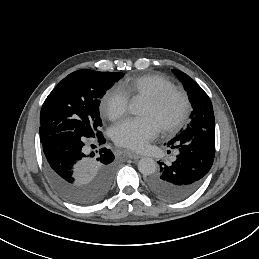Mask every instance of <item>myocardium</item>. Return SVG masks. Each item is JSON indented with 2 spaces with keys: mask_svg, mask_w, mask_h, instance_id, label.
<instances>
[{
  "mask_svg": "<svg viewBox=\"0 0 259 259\" xmlns=\"http://www.w3.org/2000/svg\"><path fill=\"white\" fill-rule=\"evenodd\" d=\"M173 99H179L181 103V110L173 122L161 125V129L168 134L178 132L183 127L189 116L191 103L187 92L178 87H173L164 92H161L158 95L148 98L149 103L157 109L162 108L165 104Z\"/></svg>",
  "mask_w": 259,
  "mask_h": 259,
  "instance_id": "myocardium-1",
  "label": "myocardium"
}]
</instances>
